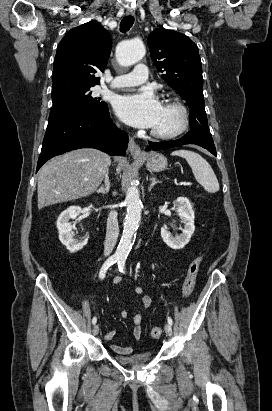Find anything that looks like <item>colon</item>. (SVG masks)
<instances>
[{
  "instance_id": "5ec220e1",
  "label": "colon",
  "mask_w": 272,
  "mask_h": 411,
  "mask_svg": "<svg viewBox=\"0 0 272 411\" xmlns=\"http://www.w3.org/2000/svg\"><path fill=\"white\" fill-rule=\"evenodd\" d=\"M203 263V257L195 258L188 266L187 273L182 284V295L184 297H189L195 287L196 278ZM163 330L161 327H153L151 329L150 335L152 338L157 339L161 337Z\"/></svg>"
}]
</instances>
